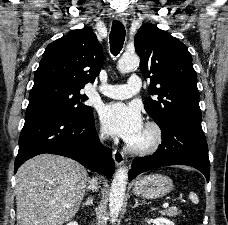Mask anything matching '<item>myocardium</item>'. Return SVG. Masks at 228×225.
Segmentation results:
<instances>
[{
    "mask_svg": "<svg viewBox=\"0 0 228 225\" xmlns=\"http://www.w3.org/2000/svg\"><path fill=\"white\" fill-rule=\"evenodd\" d=\"M144 131L149 137V142L145 145L130 143L126 147L128 151L135 154L148 155L160 148L163 142V133L159 125L154 122H148L144 127Z\"/></svg>",
    "mask_w": 228,
    "mask_h": 225,
    "instance_id": "myocardium-1",
    "label": "myocardium"
}]
</instances>
